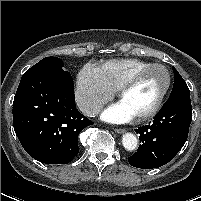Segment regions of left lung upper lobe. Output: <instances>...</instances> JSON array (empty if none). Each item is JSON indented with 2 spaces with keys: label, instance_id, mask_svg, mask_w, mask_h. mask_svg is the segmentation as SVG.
Listing matches in <instances>:
<instances>
[{
  "label": "left lung upper lobe",
  "instance_id": "left-lung-upper-lobe-1",
  "mask_svg": "<svg viewBox=\"0 0 201 201\" xmlns=\"http://www.w3.org/2000/svg\"><path fill=\"white\" fill-rule=\"evenodd\" d=\"M173 72H174L175 79H174L173 89L169 97L178 95L181 93H190L186 82L184 81V79L181 77V75L178 73V71L174 67H173Z\"/></svg>",
  "mask_w": 201,
  "mask_h": 201
}]
</instances>
